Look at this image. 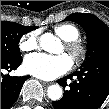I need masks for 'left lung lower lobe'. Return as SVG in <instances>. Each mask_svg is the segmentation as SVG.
Segmentation results:
<instances>
[{"mask_svg":"<svg viewBox=\"0 0 109 109\" xmlns=\"http://www.w3.org/2000/svg\"><path fill=\"white\" fill-rule=\"evenodd\" d=\"M77 78L69 85L70 89L78 88L80 98L77 102L70 103L65 97L59 101H53L54 109H98L109 96V58L98 59L73 74L58 80L64 88L67 86V79Z\"/></svg>","mask_w":109,"mask_h":109,"instance_id":"obj_1","label":"left lung lower lobe"}]
</instances>
